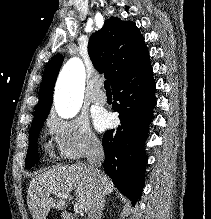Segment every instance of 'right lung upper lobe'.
<instances>
[{
    "label": "right lung upper lobe",
    "mask_w": 211,
    "mask_h": 219,
    "mask_svg": "<svg viewBox=\"0 0 211 219\" xmlns=\"http://www.w3.org/2000/svg\"><path fill=\"white\" fill-rule=\"evenodd\" d=\"M88 53L94 67L104 73L111 86L123 75L136 70L149 59L148 50L134 22L120 18L107 19L88 43ZM63 57L55 55L47 64L40 89L35 116L49 114L55 81Z\"/></svg>",
    "instance_id": "obj_1"
}]
</instances>
